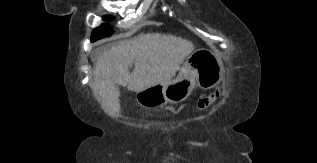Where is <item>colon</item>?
Instances as JSON below:
<instances>
[{
    "label": "colon",
    "instance_id": "5ec220e1",
    "mask_svg": "<svg viewBox=\"0 0 317 163\" xmlns=\"http://www.w3.org/2000/svg\"><path fill=\"white\" fill-rule=\"evenodd\" d=\"M218 92L202 96L198 101V107L203 109L210 106L218 97Z\"/></svg>",
    "mask_w": 317,
    "mask_h": 163
}]
</instances>
